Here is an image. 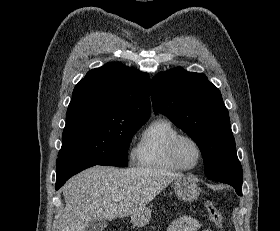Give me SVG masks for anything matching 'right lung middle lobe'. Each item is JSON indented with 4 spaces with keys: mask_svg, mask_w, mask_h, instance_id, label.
I'll return each instance as SVG.
<instances>
[{
    "mask_svg": "<svg viewBox=\"0 0 280 231\" xmlns=\"http://www.w3.org/2000/svg\"><path fill=\"white\" fill-rule=\"evenodd\" d=\"M145 122L113 118L66 119L57 160L126 167L131 138Z\"/></svg>",
    "mask_w": 280,
    "mask_h": 231,
    "instance_id": "obj_1",
    "label": "right lung middle lobe"
}]
</instances>
